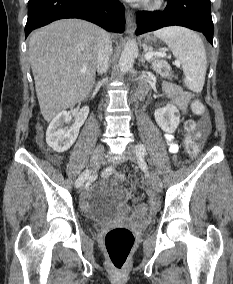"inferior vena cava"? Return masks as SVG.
Returning a JSON list of instances; mask_svg holds the SVG:
<instances>
[{
	"label": "inferior vena cava",
	"mask_w": 233,
	"mask_h": 284,
	"mask_svg": "<svg viewBox=\"0 0 233 284\" xmlns=\"http://www.w3.org/2000/svg\"><path fill=\"white\" fill-rule=\"evenodd\" d=\"M112 42L109 34L100 30L98 35V58H97V71L100 74L105 73L109 67V58L112 54Z\"/></svg>",
	"instance_id": "602c4592"
}]
</instances>
